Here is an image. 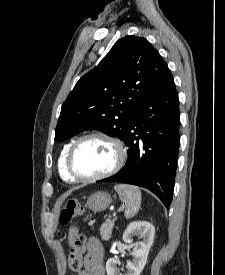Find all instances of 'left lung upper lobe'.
Segmentation results:
<instances>
[{
	"mask_svg": "<svg viewBox=\"0 0 225 275\" xmlns=\"http://www.w3.org/2000/svg\"><path fill=\"white\" fill-rule=\"evenodd\" d=\"M169 73L145 38L128 35L118 40L64 101L55 140L93 129L123 140L138 110Z\"/></svg>",
	"mask_w": 225,
	"mask_h": 275,
	"instance_id": "left-lung-upper-lobe-1",
	"label": "left lung upper lobe"
}]
</instances>
